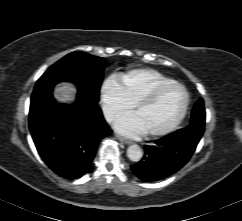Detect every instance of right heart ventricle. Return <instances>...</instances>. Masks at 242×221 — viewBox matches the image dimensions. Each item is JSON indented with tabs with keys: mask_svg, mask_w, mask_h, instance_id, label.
<instances>
[{
	"mask_svg": "<svg viewBox=\"0 0 242 221\" xmlns=\"http://www.w3.org/2000/svg\"><path fill=\"white\" fill-rule=\"evenodd\" d=\"M116 79L132 104H135L154 86L171 81L169 77L160 72L147 68L132 69L119 74Z\"/></svg>",
	"mask_w": 242,
	"mask_h": 221,
	"instance_id": "right-heart-ventricle-1",
	"label": "right heart ventricle"
}]
</instances>
